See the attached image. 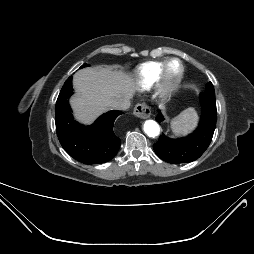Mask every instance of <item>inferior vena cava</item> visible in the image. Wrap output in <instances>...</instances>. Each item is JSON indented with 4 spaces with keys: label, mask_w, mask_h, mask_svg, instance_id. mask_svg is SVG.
<instances>
[{
    "label": "inferior vena cava",
    "mask_w": 254,
    "mask_h": 254,
    "mask_svg": "<svg viewBox=\"0 0 254 254\" xmlns=\"http://www.w3.org/2000/svg\"><path fill=\"white\" fill-rule=\"evenodd\" d=\"M129 107H130V100L129 99L116 101L112 104V108L117 109V110H126Z\"/></svg>",
    "instance_id": "602c4592"
}]
</instances>
